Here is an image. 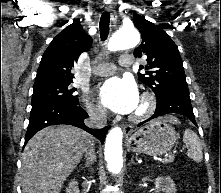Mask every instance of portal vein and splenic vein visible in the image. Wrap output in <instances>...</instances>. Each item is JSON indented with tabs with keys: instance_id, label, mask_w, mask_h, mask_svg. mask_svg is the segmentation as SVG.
<instances>
[{
	"instance_id": "obj_1",
	"label": "portal vein and splenic vein",
	"mask_w": 221,
	"mask_h": 193,
	"mask_svg": "<svg viewBox=\"0 0 221 193\" xmlns=\"http://www.w3.org/2000/svg\"><path fill=\"white\" fill-rule=\"evenodd\" d=\"M173 157L172 155H165L164 158H163V161H166L168 158H171Z\"/></svg>"
}]
</instances>
